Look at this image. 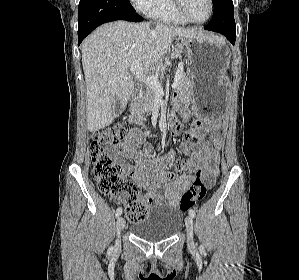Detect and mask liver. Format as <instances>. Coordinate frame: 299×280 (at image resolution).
<instances>
[{
    "label": "liver",
    "mask_w": 299,
    "mask_h": 280,
    "mask_svg": "<svg viewBox=\"0 0 299 280\" xmlns=\"http://www.w3.org/2000/svg\"><path fill=\"white\" fill-rule=\"evenodd\" d=\"M196 29L157 23L115 21L99 27L82 43V66L87 94V129L98 131L109 126L116 114L113 104L121 101V114L134 90L129 73L133 62L140 60L148 69L169 50L172 41L201 38Z\"/></svg>",
    "instance_id": "6515ba94"
}]
</instances>
